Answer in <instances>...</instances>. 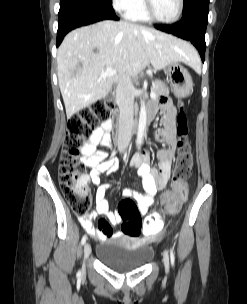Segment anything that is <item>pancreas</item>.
Instances as JSON below:
<instances>
[{
  "label": "pancreas",
  "instance_id": "pancreas-1",
  "mask_svg": "<svg viewBox=\"0 0 247 304\" xmlns=\"http://www.w3.org/2000/svg\"><path fill=\"white\" fill-rule=\"evenodd\" d=\"M151 90L155 93L156 95V98L162 96V95H169V89L166 87V85L159 81V80H156L152 83V88Z\"/></svg>",
  "mask_w": 247,
  "mask_h": 304
}]
</instances>
